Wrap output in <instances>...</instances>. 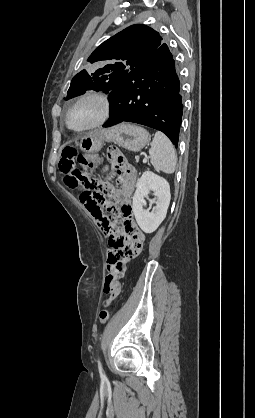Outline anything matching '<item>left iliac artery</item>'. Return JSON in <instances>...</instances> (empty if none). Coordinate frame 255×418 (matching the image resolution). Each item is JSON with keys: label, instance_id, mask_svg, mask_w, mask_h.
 Here are the masks:
<instances>
[{"label": "left iliac artery", "instance_id": "left-iliac-artery-1", "mask_svg": "<svg viewBox=\"0 0 255 418\" xmlns=\"http://www.w3.org/2000/svg\"><path fill=\"white\" fill-rule=\"evenodd\" d=\"M98 368H99V372H100L101 377H105L100 360H98Z\"/></svg>", "mask_w": 255, "mask_h": 418}]
</instances>
